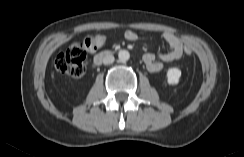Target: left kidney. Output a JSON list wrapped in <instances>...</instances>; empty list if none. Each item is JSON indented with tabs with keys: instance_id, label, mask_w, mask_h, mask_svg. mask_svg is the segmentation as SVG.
<instances>
[{
	"instance_id": "left-kidney-1",
	"label": "left kidney",
	"mask_w": 244,
	"mask_h": 157,
	"mask_svg": "<svg viewBox=\"0 0 244 157\" xmlns=\"http://www.w3.org/2000/svg\"><path fill=\"white\" fill-rule=\"evenodd\" d=\"M181 77V70L178 68H169L167 71V82L169 85H176L179 83Z\"/></svg>"
}]
</instances>
